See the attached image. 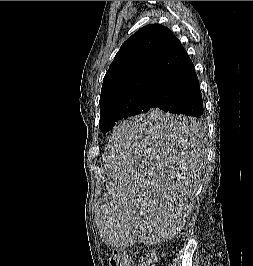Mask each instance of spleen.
I'll use <instances>...</instances> for the list:
<instances>
[{
	"label": "spleen",
	"mask_w": 253,
	"mask_h": 266,
	"mask_svg": "<svg viewBox=\"0 0 253 266\" xmlns=\"http://www.w3.org/2000/svg\"><path fill=\"white\" fill-rule=\"evenodd\" d=\"M111 135L106 169L111 190L98 224L106 248H164L186 228L198 187L200 123L180 111H145Z\"/></svg>",
	"instance_id": "obj_1"
}]
</instances>
